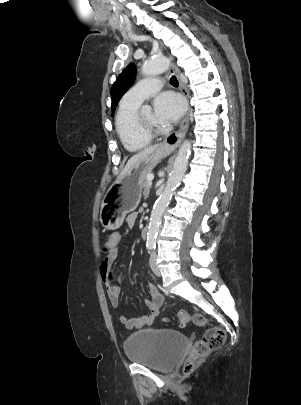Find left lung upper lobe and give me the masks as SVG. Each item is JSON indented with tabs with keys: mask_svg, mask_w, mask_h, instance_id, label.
Here are the masks:
<instances>
[{
	"mask_svg": "<svg viewBox=\"0 0 301 405\" xmlns=\"http://www.w3.org/2000/svg\"><path fill=\"white\" fill-rule=\"evenodd\" d=\"M136 75V66L129 64L119 75L111 89L112 113H114L120 98L133 84Z\"/></svg>",
	"mask_w": 301,
	"mask_h": 405,
	"instance_id": "left-lung-upper-lobe-1",
	"label": "left lung upper lobe"
}]
</instances>
